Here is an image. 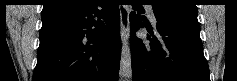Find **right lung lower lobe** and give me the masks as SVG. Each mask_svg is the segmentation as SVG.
<instances>
[{
    "label": "right lung lower lobe",
    "instance_id": "1",
    "mask_svg": "<svg viewBox=\"0 0 237 81\" xmlns=\"http://www.w3.org/2000/svg\"><path fill=\"white\" fill-rule=\"evenodd\" d=\"M120 12L112 0H88L74 12L42 19L33 81H117Z\"/></svg>",
    "mask_w": 237,
    "mask_h": 81
}]
</instances>
